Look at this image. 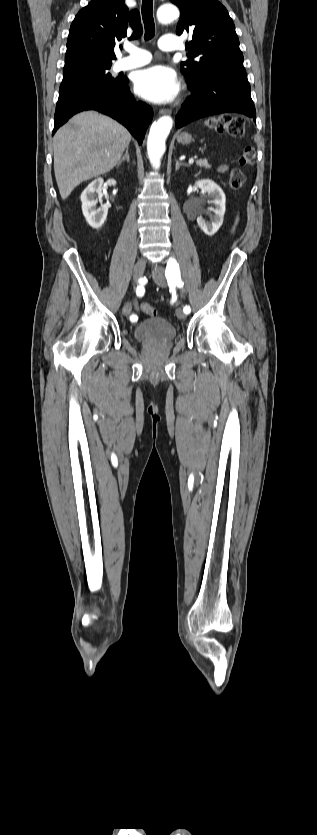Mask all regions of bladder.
Masks as SVG:
<instances>
[{
	"mask_svg": "<svg viewBox=\"0 0 317 835\" xmlns=\"http://www.w3.org/2000/svg\"><path fill=\"white\" fill-rule=\"evenodd\" d=\"M136 340L151 344H168L177 337L175 326L160 316H150L139 322L133 332Z\"/></svg>",
	"mask_w": 317,
	"mask_h": 835,
	"instance_id": "obj_1",
	"label": "bladder"
}]
</instances>
